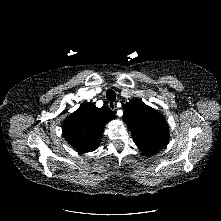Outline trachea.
Here are the masks:
<instances>
[{"instance_id":"obj_1","label":"trachea","mask_w":221,"mask_h":221,"mask_svg":"<svg viewBox=\"0 0 221 221\" xmlns=\"http://www.w3.org/2000/svg\"><path fill=\"white\" fill-rule=\"evenodd\" d=\"M106 98L109 100V101H115L116 100V94L113 90H108L106 92Z\"/></svg>"}]
</instances>
